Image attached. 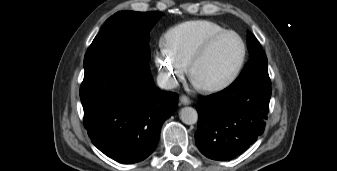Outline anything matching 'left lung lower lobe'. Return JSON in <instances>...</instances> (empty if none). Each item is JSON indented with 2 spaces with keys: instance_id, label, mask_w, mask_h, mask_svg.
<instances>
[{
  "instance_id": "1",
  "label": "left lung lower lobe",
  "mask_w": 337,
  "mask_h": 171,
  "mask_svg": "<svg viewBox=\"0 0 337 171\" xmlns=\"http://www.w3.org/2000/svg\"><path fill=\"white\" fill-rule=\"evenodd\" d=\"M271 83L247 81L202 98L195 142L206 157L227 161L249 148L266 125Z\"/></svg>"
}]
</instances>
